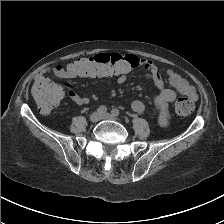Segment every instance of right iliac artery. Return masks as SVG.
I'll return each mask as SVG.
<instances>
[{"label":"right iliac artery","instance_id":"right-iliac-artery-1","mask_svg":"<svg viewBox=\"0 0 224 224\" xmlns=\"http://www.w3.org/2000/svg\"><path fill=\"white\" fill-rule=\"evenodd\" d=\"M97 111L100 113V114H105L107 112V107L102 105L100 106Z\"/></svg>","mask_w":224,"mask_h":224}]
</instances>
